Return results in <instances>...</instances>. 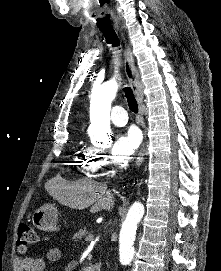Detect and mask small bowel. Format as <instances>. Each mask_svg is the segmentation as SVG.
<instances>
[{
    "label": "small bowel",
    "mask_w": 221,
    "mask_h": 271,
    "mask_svg": "<svg viewBox=\"0 0 221 271\" xmlns=\"http://www.w3.org/2000/svg\"><path fill=\"white\" fill-rule=\"evenodd\" d=\"M61 257L59 248H51L45 258L42 257H17L13 263V271H49V264L58 261ZM72 265H67L64 271H72Z\"/></svg>",
    "instance_id": "small-bowel-1"
}]
</instances>
